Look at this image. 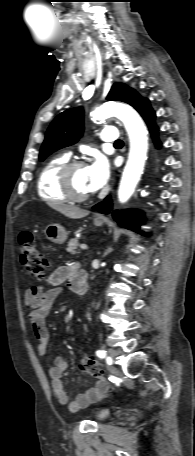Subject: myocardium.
Masks as SVG:
<instances>
[{
  "label": "myocardium",
  "instance_id": "f54148a6",
  "mask_svg": "<svg viewBox=\"0 0 195 456\" xmlns=\"http://www.w3.org/2000/svg\"><path fill=\"white\" fill-rule=\"evenodd\" d=\"M86 164L81 160H72L66 163L59 173V184L64 195L72 201L82 202L88 200L92 194H82L75 190L72 182L73 172L77 168L85 167Z\"/></svg>",
  "mask_w": 195,
  "mask_h": 456
}]
</instances>
